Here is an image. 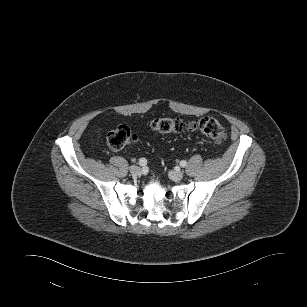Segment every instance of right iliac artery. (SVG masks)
<instances>
[{
	"instance_id": "obj_1",
	"label": "right iliac artery",
	"mask_w": 307,
	"mask_h": 307,
	"mask_svg": "<svg viewBox=\"0 0 307 307\" xmlns=\"http://www.w3.org/2000/svg\"><path fill=\"white\" fill-rule=\"evenodd\" d=\"M139 165H140V166H145V165H147V160H146L145 158H141V159L139 160Z\"/></svg>"
}]
</instances>
